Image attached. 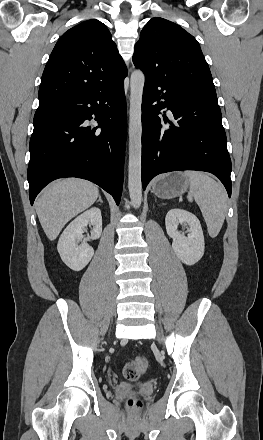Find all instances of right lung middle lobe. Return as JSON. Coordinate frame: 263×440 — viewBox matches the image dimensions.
Returning <instances> with one entry per match:
<instances>
[{"instance_id":"dd1d6c3e","label":"right lung middle lobe","mask_w":263,"mask_h":440,"mask_svg":"<svg viewBox=\"0 0 263 440\" xmlns=\"http://www.w3.org/2000/svg\"><path fill=\"white\" fill-rule=\"evenodd\" d=\"M57 107L58 105H48V106L38 107L34 116V125L42 122L43 120L51 116L53 113H55Z\"/></svg>"}]
</instances>
